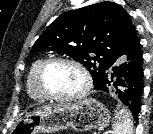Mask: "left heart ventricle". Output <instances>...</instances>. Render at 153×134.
Segmentation results:
<instances>
[{"label":"left heart ventricle","instance_id":"left-heart-ventricle-1","mask_svg":"<svg viewBox=\"0 0 153 134\" xmlns=\"http://www.w3.org/2000/svg\"><path fill=\"white\" fill-rule=\"evenodd\" d=\"M43 86L50 94L70 96L82 89L83 77L75 67L64 63H56L46 70L43 77Z\"/></svg>","mask_w":153,"mask_h":134}]
</instances>
